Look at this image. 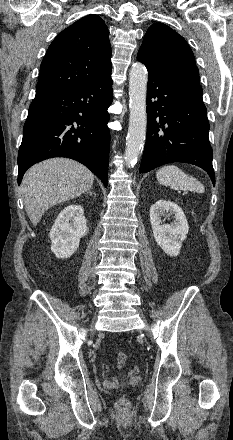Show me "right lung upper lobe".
Wrapping results in <instances>:
<instances>
[{
  "label": "right lung upper lobe",
  "instance_id": "1",
  "mask_svg": "<svg viewBox=\"0 0 233 440\" xmlns=\"http://www.w3.org/2000/svg\"><path fill=\"white\" fill-rule=\"evenodd\" d=\"M108 29L98 15H88L63 30L41 63L36 94L82 86L111 73Z\"/></svg>",
  "mask_w": 233,
  "mask_h": 440
}]
</instances>
